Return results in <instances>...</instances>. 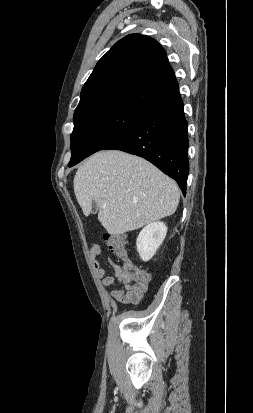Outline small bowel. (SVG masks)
Wrapping results in <instances>:
<instances>
[{"label": "small bowel", "instance_id": "c3829d8e", "mask_svg": "<svg viewBox=\"0 0 253 413\" xmlns=\"http://www.w3.org/2000/svg\"><path fill=\"white\" fill-rule=\"evenodd\" d=\"M103 250L98 244H93L90 249V257L93 267L98 277L101 278V283L104 286L120 287L111 292L112 298L121 304H138L148 289V284L133 283L132 279L123 273V266L116 264L112 258L108 257V263L113 268L112 275L107 274L106 268L102 267L99 257Z\"/></svg>", "mask_w": 253, "mask_h": 413}]
</instances>
